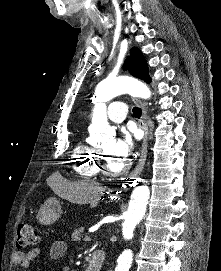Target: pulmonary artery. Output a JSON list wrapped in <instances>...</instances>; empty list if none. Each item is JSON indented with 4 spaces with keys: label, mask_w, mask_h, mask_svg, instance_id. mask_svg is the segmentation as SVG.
<instances>
[{
    "label": "pulmonary artery",
    "mask_w": 221,
    "mask_h": 271,
    "mask_svg": "<svg viewBox=\"0 0 221 271\" xmlns=\"http://www.w3.org/2000/svg\"><path fill=\"white\" fill-rule=\"evenodd\" d=\"M108 107L109 122H126L124 112H127V107H121V102H108Z\"/></svg>",
    "instance_id": "obj_1"
}]
</instances>
